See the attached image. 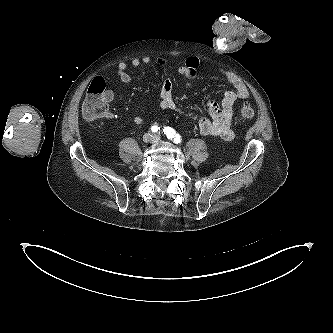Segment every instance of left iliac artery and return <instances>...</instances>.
Listing matches in <instances>:
<instances>
[{
    "label": "left iliac artery",
    "mask_w": 333,
    "mask_h": 333,
    "mask_svg": "<svg viewBox=\"0 0 333 333\" xmlns=\"http://www.w3.org/2000/svg\"><path fill=\"white\" fill-rule=\"evenodd\" d=\"M164 134L167 136L168 139H174L175 143H180L181 142V136L176 133V131L172 127H165L163 129Z\"/></svg>",
    "instance_id": "left-iliac-artery-1"
}]
</instances>
